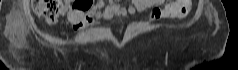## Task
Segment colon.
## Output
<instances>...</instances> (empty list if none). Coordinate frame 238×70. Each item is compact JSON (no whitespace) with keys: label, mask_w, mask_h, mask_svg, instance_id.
Listing matches in <instances>:
<instances>
[{"label":"colon","mask_w":238,"mask_h":70,"mask_svg":"<svg viewBox=\"0 0 238 70\" xmlns=\"http://www.w3.org/2000/svg\"><path fill=\"white\" fill-rule=\"evenodd\" d=\"M175 2L177 5L172 8L174 17L182 18L187 15L191 8V0H175ZM32 7L35 14L48 24L57 23L66 10L62 0H33Z\"/></svg>","instance_id":"1"}]
</instances>
